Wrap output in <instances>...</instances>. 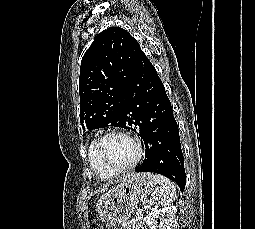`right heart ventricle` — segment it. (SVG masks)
<instances>
[{"instance_id":"obj_1","label":"right heart ventricle","mask_w":255,"mask_h":229,"mask_svg":"<svg viewBox=\"0 0 255 229\" xmlns=\"http://www.w3.org/2000/svg\"><path fill=\"white\" fill-rule=\"evenodd\" d=\"M92 144L93 141L90 143L89 147H88V154H87V158H88V163L90 165V168L95 172V174L100 177L101 179L104 180H109L112 179L114 177H116V175H112L109 174L108 172H106L101 166L100 164L97 162V160L94 158L93 153H92Z\"/></svg>"}]
</instances>
